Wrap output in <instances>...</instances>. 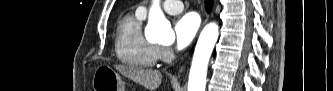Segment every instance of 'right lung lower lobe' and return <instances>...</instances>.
<instances>
[{"mask_svg": "<svg viewBox=\"0 0 333 91\" xmlns=\"http://www.w3.org/2000/svg\"><path fill=\"white\" fill-rule=\"evenodd\" d=\"M212 6V0H206V8L209 11L211 9Z\"/></svg>", "mask_w": 333, "mask_h": 91, "instance_id": "98d812e1", "label": "right lung lower lobe"}]
</instances>
